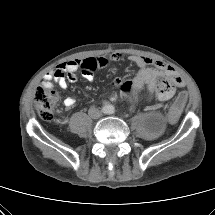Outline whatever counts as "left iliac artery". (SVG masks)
<instances>
[{
  "label": "left iliac artery",
  "mask_w": 215,
  "mask_h": 215,
  "mask_svg": "<svg viewBox=\"0 0 215 215\" xmlns=\"http://www.w3.org/2000/svg\"><path fill=\"white\" fill-rule=\"evenodd\" d=\"M109 113H114V108H110V111H109Z\"/></svg>",
  "instance_id": "left-iliac-artery-1"
}]
</instances>
